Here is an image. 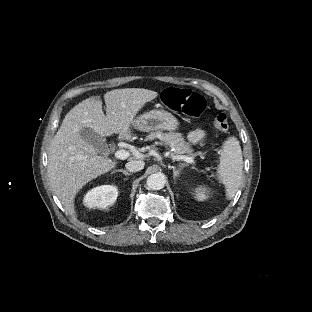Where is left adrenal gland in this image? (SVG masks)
I'll list each match as a JSON object with an SVG mask.
<instances>
[{
    "label": "left adrenal gland",
    "instance_id": "left-adrenal-gland-1",
    "mask_svg": "<svg viewBox=\"0 0 312 312\" xmlns=\"http://www.w3.org/2000/svg\"><path fill=\"white\" fill-rule=\"evenodd\" d=\"M179 167H181V165H179ZM168 168H170V169H172L173 170V177H174V179L176 178V176H178V174H179V172H180V170L179 169H176V167L175 166H168Z\"/></svg>",
    "mask_w": 312,
    "mask_h": 312
}]
</instances>
